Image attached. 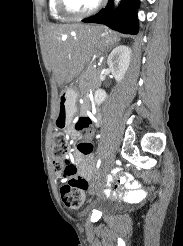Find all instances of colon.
<instances>
[{"instance_id":"colon-1","label":"colon","mask_w":183,"mask_h":246,"mask_svg":"<svg viewBox=\"0 0 183 246\" xmlns=\"http://www.w3.org/2000/svg\"><path fill=\"white\" fill-rule=\"evenodd\" d=\"M65 123V113L58 118V126ZM75 129L83 132L84 138H95L97 135L96 125H91L88 117H81ZM77 152L84 157H96L91 141L83 140L77 143ZM52 157L55 172L61 179L60 195L64 205L69 209H78L83 204V192L89 189V182L78 174L75 165L69 159V146L62 132L56 131L52 138Z\"/></svg>"}]
</instances>
